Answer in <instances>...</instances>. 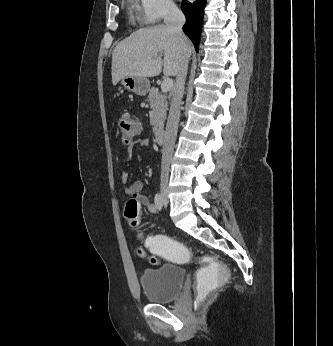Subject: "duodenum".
I'll use <instances>...</instances> for the list:
<instances>
[{
    "mask_svg": "<svg viewBox=\"0 0 333 346\" xmlns=\"http://www.w3.org/2000/svg\"><path fill=\"white\" fill-rule=\"evenodd\" d=\"M165 140V132L163 129L158 128L155 130V141L158 144H162Z\"/></svg>",
    "mask_w": 333,
    "mask_h": 346,
    "instance_id": "410a0bca",
    "label": "duodenum"
}]
</instances>
